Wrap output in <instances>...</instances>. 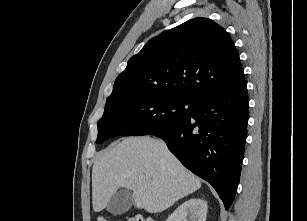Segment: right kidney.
I'll return each instance as SVG.
<instances>
[{"mask_svg":"<svg viewBox=\"0 0 307 221\" xmlns=\"http://www.w3.org/2000/svg\"><path fill=\"white\" fill-rule=\"evenodd\" d=\"M207 209L206 201L191 198L181 204L166 221H186L188 216L190 221H206Z\"/></svg>","mask_w":307,"mask_h":221,"instance_id":"1","label":"right kidney"}]
</instances>
